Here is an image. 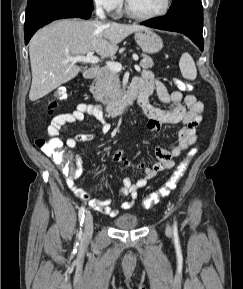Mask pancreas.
Masks as SVG:
<instances>
[{
	"instance_id": "1",
	"label": "pancreas",
	"mask_w": 243,
	"mask_h": 289,
	"mask_svg": "<svg viewBox=\"0 0 243 289\" xmlns=\"http://www.w3.org/2000/svg\"><path fill=\"white\" fill-rule=\"evenodd\" d=\"M143 60L140 66L143 69H149L154 66L153 60L148 55L142 54ZM90 92L96 101L108 103L120 95L119 76L117 72L112 71L109 67H103L96 79L90 86Z\"/></svg>"
}]
</instances>
